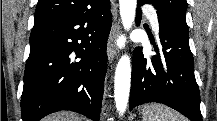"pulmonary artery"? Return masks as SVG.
Instances as JSON below:
<instances>
[{"instance_id": "pulmonary-artery-1", "label": "pulmonary artery", "mask_w": 217, "mask_h": 121, "mask_svg": "<svg viewBox=\"0 0 217 121\" xmlns=\"http://www.w3.org/2000/svg\"><path fill=\"white\" fill-rule=\"evenodd\" d=\"M143 11L147 14L153 30L157 34L159 32V21L157 14L148 7H145Z\"/></svg>"}]
</instances>
